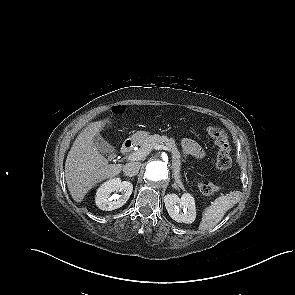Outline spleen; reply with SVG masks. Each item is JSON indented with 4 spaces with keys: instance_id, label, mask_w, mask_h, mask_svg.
I'll use <instances>...</instances> for the list:
<instances>
[{
    "instance_id": "3e777b00",
    "label": "spleen",
    "mask_w": 295,
    "mask_h": 295,
    "mask_svg": "<svg viewBox=\"0 0 295 295\" xmlns=\"http://www.w3.org/2000/svg\"><path fill=\"white\" fill-rule=\"evenodd\" d=\"M240 198L241 192L233 191L215 199L203 212L199 229L205 231L213 228L222 220L225 213L240 201Z\"/></svg>"
}]
</instances>
